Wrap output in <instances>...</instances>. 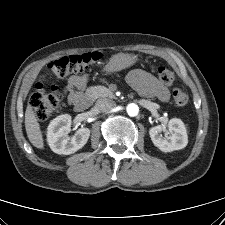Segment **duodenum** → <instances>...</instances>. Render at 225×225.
<instances>
[{"label":"duodenum","instance_id":"obj_1","mask_svg":"<svg viewBox=\"0 0 225 225\" xmlns=\"http://www.w3.org/2000/svg\"><path fill=\"white\" fill-rule=\"evenodd\" d=\"M92 98L89 95L82 96L74 105V108L77 112L83 113L86 112L91 106Z\"/></svg>","mask_w":225,"mask_h":225}]
</instances>
